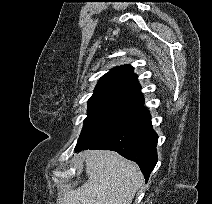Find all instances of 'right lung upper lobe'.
<instances>
[{"label":"right lung upper lobe","mask_w":212,"mask_h":204,"mask_svg":"<svg viewBox=\"0 0 212 204\" xmlns=\"http://www.w3.org/2000/svg\"><path fill=\"white\" fill-rule=\"evenodd\" d=\"M137 75L130 65L113 68L99 80L89 102L114 100L143 105Z\"/></svg>","instance_id":"cb5924a9"}]
</instances>
